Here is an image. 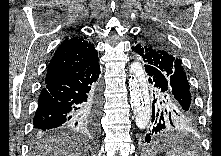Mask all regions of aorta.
<instances>
[{
  "mask_svg": "<svg viewBox=\"0 0 221 156\" xmlns=\"http://www.w3.org/2000/svg\"><path fill=\"white\" fill-rule=\"evenodd\" d=\"M129 92L131 108L137 117V125L139 128L144 129L149 121L146 105L148 88L145 80L144 70L138 63H134L131 66L129 74Z\"/></svg>",
  "mask_w": 221,
  "mask_h": 156,
  "instance_id": "obj_1",
  "label": "aorta"
}]
</instances>
